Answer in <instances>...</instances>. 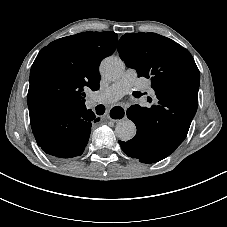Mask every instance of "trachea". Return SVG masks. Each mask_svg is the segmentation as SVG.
<instances>
[{
	"label": "trachea",
	"mask_w": 227,
	"mask_h": 227,
	"mask_svg": "<svg viewBox=\"0 0 227 227\" xmlns=\"http://www.w3.org/2000/svg\"><path fill=\"white\" fill-rule=\"evenodd\" d=\"M105 112V106L104 105H98L96 106V113L98 115H102Z\"/></svg>",
	"instance_id": "3493384b"
}]
</instances>
